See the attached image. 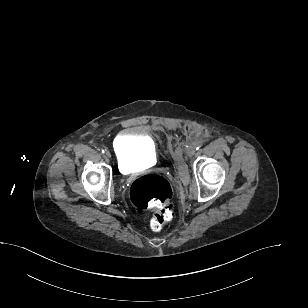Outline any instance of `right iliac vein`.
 <instances>
[{"mask_svg": "<svg viewBox=\"0 0 308 308\" xmlns=\"http://www.w3.org/2000/svg\"><path fill=\"white\" fill-rule=\"evenodd\" d=\"M105 155H106L107 157H109V158L111 157V153H110L109 151H106V152H105Z\"/></svg>", "mask_w": 308, "mask_h": 308, "instance_id": "63e3f726", "label": "right iliac vein"}]
</instances>
